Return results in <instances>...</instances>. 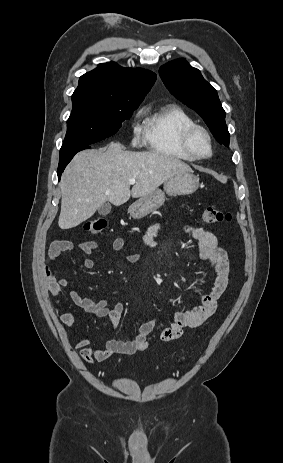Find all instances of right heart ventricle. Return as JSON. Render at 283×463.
<instances>
[{"instance_id": "e07e8e85", "label": "right heart ventricle", "mask_w": 283, "mask_h": 463, "mask_svg": "<svg viewBox=\"0 0 283 463\" xmlns=\"http://www.w3.org/2000/svg\"><path fill=\"white\" fill-rule=\"evenodd\" d=\"M194 124L182 107L167 104L148 113L143 127L144 143L155 154L192 161L194 158L183 148L182 135Z\"/></svg>"}]
</instances>
